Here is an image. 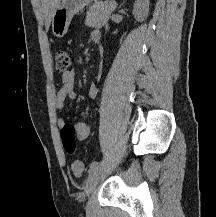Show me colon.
<instances>
[{"mask_svg": "<svg viewBox=\"0 0 216 217\" xmlns=\"http://www.w3.org/2000/svg\"><path fill=\"white\" fill-rule=\"evenodd\" d=\"M55 67L59 72H64L71 66L70 53L65 49H56L53 53ZM61 137L65 150L73 152L76 145L75 128L66 124L61 131ZM71 170L74 175L81 176L84 173V165L81 161L75 160L71 164Z\"/></svg>", "mask_w": 216, "mask_h": 217, "instance_id": "obj_1", "label": "colon"}]
</instances>
